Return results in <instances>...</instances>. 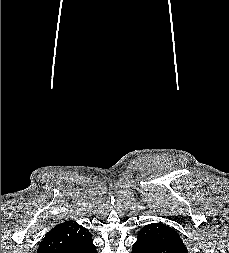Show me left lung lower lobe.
<instances>
[{
    "label": "left lung lower lobe",
    "mask_w": 229,
    "mask_h": 253,
    "mask_svg": "<svg viewBox=\"0 0 229 253\" xmlns=\"http://www.w3.org/2000/svg\"><path fill=\"white\" fill-rule=\"evenodd\" d=\"M132 253H188L187 248L172 244H155L137 240L133 244Z\"/></svg>",
    "instance_id": "1"
}]
</instances>
